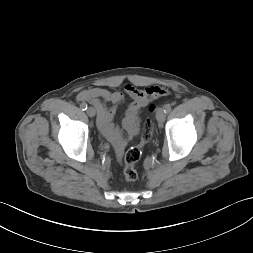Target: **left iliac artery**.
<instances>
[{"label": "left iliac artery", "mask_w": 253, "mask_h": 253, "mask_svg": "<svg viewBox=\"0 0 253 253\" xmlns=\"http://www.w3.org/2000/svg\"><path fill=\"white\" fill-rule=\"evenodd\" d=\"M170 110H171V105L170 104L164 105V111L165 112H169Z\"/></svg>", "instance_id": "left-iliac-artery-1"}]
</instances>
